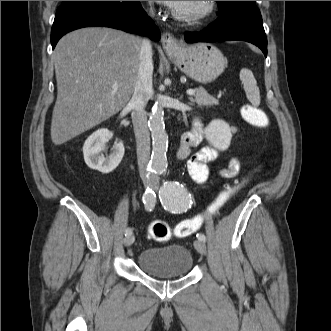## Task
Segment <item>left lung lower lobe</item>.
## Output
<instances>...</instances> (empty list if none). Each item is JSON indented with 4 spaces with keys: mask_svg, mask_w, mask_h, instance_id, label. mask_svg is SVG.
<instances>
[{
    "mask_svg": "<svg viewBox=\"0 0 331 331\" xmlns=\"http://www.w3.org/2000/svg\"><path fill=\"white\" fill-rule=\"evenodd\" d=\"M188 43L242 40L258 46L267 56V39L257 8L221 15L201 32H186Z\"/></svg>",
    "mask_w": 331,
    "mask_h": 331,
    "instance_id": "0a47b994",
    "label": "left lung lower lobe"
}]
</instances>
